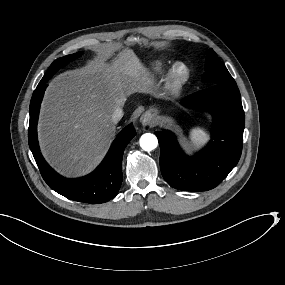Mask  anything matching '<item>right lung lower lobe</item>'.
<instances>
[{"instance_id":"98d812e1","label":"right lung lower lobe","mask_w":285,"mask_h":285,"mask_svg":"<svg viewBox=\"0 0 285 285\" xmlns=\"http://www.w3.org/2000/svg\"><path fill=\"white\" fill-rule=\"evenodd\" d=\"M47 83L38 84L30 102V122L28 129L29 146L44 181L60 195L79 202L99 204L112 199L122 183V158L127 144L136 135L132 124L125 127L113 142L109 152L96 168L87 176L67 179L54 171L40 153L37 139V123L40 104Z\"/></svg>"}]
</instances>
